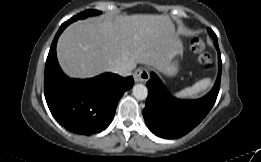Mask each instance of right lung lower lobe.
<instances>
[{
	"instance_id": "obj_1",
	"label": "right lung lower lobe",
	"mask_w": 261,
	"mask_h": 162,
	"mask_svg": "<svg viewBox=\"0 0 261 162\" xmlns=\"http://www.w3.org/2000/svg\"><path fill=\"white\" fill-rule=\"evenodd\" d=\"M72 22L70 19L63 23L52 42L45 66V98L59 124L73 133L91 135L109 126L120 98L132 88L134 79L112 73L86 80L68 78L59 67L56 44Z\"/></svg>"
}]
</instances>
